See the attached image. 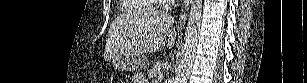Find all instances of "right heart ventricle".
Here are the masks:
<instances>
[{
    "mask_svg": "<svg viewBox=\"0 0 307 83\" xmlns=\"http://www.w3.org/2000/svg\"><path fill=\"white\" fill-rule=\"evenodd\" d=\"M154 1L145 0H124L123 8L128 12H142L145 10H150L156 7L153 3Z\"/></svg>",
    "mask_w": 307,
    "mask_h": 83,
    "instance_id": "obj_1",
    "label": "right heart ventricle"
}]
</instances>
